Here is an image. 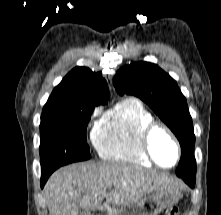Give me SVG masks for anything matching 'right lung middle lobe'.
<instances>
[{
	"mask_svg": "<svg viewBox=\"0 0 221 215\" xmlns=\"http://www.w3.org/2000/svg\"><path fill=\"white\" fill-rule=\"evenodd\" d=\"M98 105L82 103L44 106L39 148L42 172L91 157L86 128L94 107Z\"/></svg>",
	"mask_w": 221,
	"mask_h": 215,
	"instance_id": "1",
	"label": "right lung middle lobe"
}]
</instances>
